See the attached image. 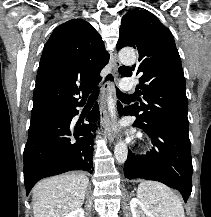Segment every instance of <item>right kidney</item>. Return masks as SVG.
<instances>
[{"mask_svg": "<svg viewBox=\"0 0 211 217\" xmlns=\"http://www.w3.org/2000/svg\"><path fill=\"white\" fill-rule=\"evenodd\" d=\"M65 217H84V210L82 208H77L67 214Z\"/></svg>", "mask_w": 211, "mask_h": 217, "instance_id": "right-kidney-1", "label": "right kidney"}]
</instances>
